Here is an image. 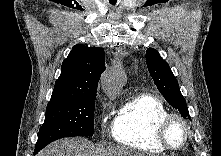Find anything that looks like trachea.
Here are the masks:
<instances>
[{
  "instance_id": "obj_1",
  "label": "trachea",
  "mask_w": 221,
  "mask_h": 156,
  "mask_svg": "<svg viewBox=\"0 0 221 156\" xmlns=\"http://www.w3.org/2000/svg\"><path fill=\"white\" fill-rule=\"evenodd\" d=\"M115 2H111V4H115L117 0H114Z\"/></svg>"
}]
</instances>
